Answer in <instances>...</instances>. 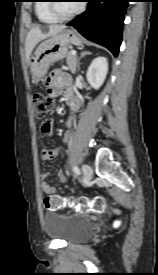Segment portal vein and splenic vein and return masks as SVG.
<instances>
[{"label":"portal vein and splenic vein","mask_w":158,"mask_h":275,"mask_svg":"<svg viewBox=\"0 0 158 275\" xmlns=\"http://www.w3.org/2000/svg\"><path fill=\"white\" fill-rule=\"evenodd\" d=\"M72 55H76L77 52L75 50L71 51Z\"/></svg>","instance_id":"portal-vein-and-splenic-vein-1"}]
</instances>
